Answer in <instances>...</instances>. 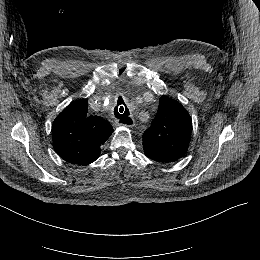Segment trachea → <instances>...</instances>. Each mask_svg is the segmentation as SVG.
Segmentation results:
<instances>
[{"label":"trachea","instance_id":"obj_1","mask_svg":"<svg viewBox=\"0 0 260 260\" xmlns=\"http://www.w3.org/2000/svg\"><path fill=\"white\" fill-rule=\"evenodd\" d=\"M129 113V109L125 104L124 106H120L119 108H114V115L117 119H119V122L122 124H126V121L130 120Z\"/></svg>","mask_w":260,"mask_h":260}]
</instances>
